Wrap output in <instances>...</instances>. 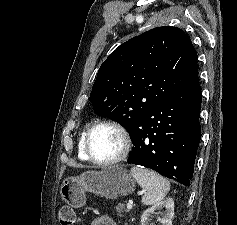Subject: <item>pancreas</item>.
Here are the masks:
<instances>
[{"label": "pancreas", "instance_id": "1", "mask_svg": "<svg viewBox=\"0 0 237 225\" xmlns=\"http://www.w3.org/2000/svg\"><path fill=\"white\" fill-rule=\"evenodd\" d=\"M115 210H116V212L118 213V215H119L120 217L123 216V212H124V211H125V212H128V210H125V207H124L123 204H118V205L115 207Z\"/></svg>", "mask_w": 237, "mask_h": 225}]
</instances>
